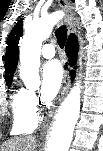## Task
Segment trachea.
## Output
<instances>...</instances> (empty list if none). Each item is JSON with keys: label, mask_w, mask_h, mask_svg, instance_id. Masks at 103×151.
<instances>
[{"label": "trachea", "mask_w": 103, "mask_h": 151, "mask_svg": "<svg viewBox=\"0 0 103 151\" xmlns=\"http://www.w3.org/2000/svg\"><path fill=\"white\" fill-rule=\"evenodd\" d=\"M55 35L57 38V42L58 45L63 48L67 39V29L65 26H61L59 27L56 31H55Z\"/></svg>", "instance_id": "obj_1"}]
</instances>
